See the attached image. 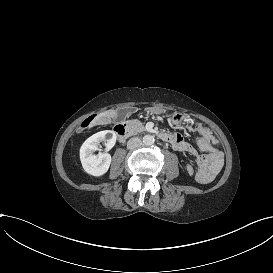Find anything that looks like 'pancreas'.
<instances>
[{
  "label": "pancreas",
  "instance_id": "cf45deb5",
  "mask_svg": "<svg viewBox=\"0 0 273 273\" xmlns=\"http://www.w3.org/2000/svg\"><path fill=\"white\" fill-rule=\"evenodd\" d=\"M127 125L136 132H142L144 130L143 124L137 119L128 120Z\"/></svg>",
  "mask_w": 273,
  "mask_h": 273
}]
</instances>
